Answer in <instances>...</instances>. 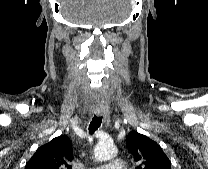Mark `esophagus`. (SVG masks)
Here are the masks:
<instances>
[{
	"mask_svg": "<svg viewBox=\"0 0 208 169\" xmlns=\"http://www.w3.org/2000/svg\"><path fill=\"white\" fill-rule=\"evenodd\" d=\"M97 116L103 117L104 123L108 125L110 123V111L108 106H97L95 109Z\"/></svg>",
	"mask_w": 208,
	"mask_h": 169,
	"instance_id": "esophagus-1",
	"label": "esophagus"
}]
</instances>
